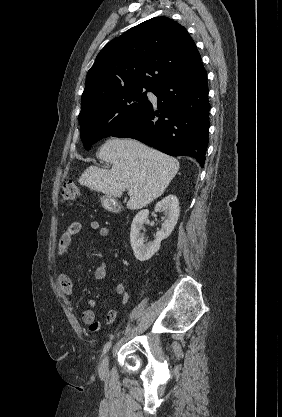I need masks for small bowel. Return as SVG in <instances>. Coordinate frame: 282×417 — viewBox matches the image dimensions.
I'll return each instance as SVG.
<instances>
[{"mask_svg":"<svg viewBox=\"0 0 282 417\" xmlns=\"http://www.w3.org/2000/svg\"><path fill=\"white\" fill-rule=\"evenodd\" d=\"M91 230L97 231L100 238H108L110 236V229L107 226H100L97 221H91L89 224ZM82 229V224L80 221H72L65 232L61 235L58 248H57V255L62 257L68 251L72 239L75 235H77ZM95 277L97 280L104 281L108 278L107 269L105 266H99L95 270ZM58 283L60 285L61 290L66 296L73 295V282L71 278L65 273L64 271H60L58 274ZM114 293L117 296H120V301L114 308L110 309L106 315V323L108 325L112 324L118 312V307L124 305L128 299L129 294L126 291V288L123 283H117L114 287ZM88 304L91 306L90 309L85 310L82 314L83 322L88 326L91 332H96L100 329V323L96 320V313L95 307L97 305L96 301L91 298H87Z\"/></svg>","mask_w":282,"mask_h":417,"instance_id":"c3829d8e","label":"small bowel"}]
</instances>
